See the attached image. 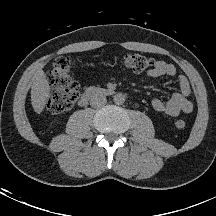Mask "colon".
I'll list each match as a JSON object with an SVG mask.
<instances>
[{
  "mask_svg": "<svg viewBox=\"0 0 216 216\" xmlns=\"http://www.w3.org/2000/svg\"><path fill=\"white\" fill-rule=\"evenodd\" d=\"M73 58L67 55L55 59L49 73L50 82L54 88L50 92L46 110L51 114H59L70 110L75 104L79 95V84L71 75ZM121 67L134 72H142L156 67L157 60L139 53H126L119 59ZM187 126L185 116H180L175 121L177 129H184Z\"/></svg>",
  "mask_w": 216,
  "mask_h": 216,
  "instance_id": "1",
  "label": "colon"
}]
</instances>
